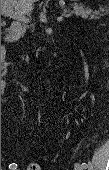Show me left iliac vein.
Here are the masks:
<instances>
[{
	"label": "left iliac vein",
	"mask_w": 109,
	"mask_h": 170,
	"mask_svg": "<svg viewBox=\"0 0 109 170\" xmlns=\"http://www.w3.org/2000/svg\"><path fill=\"white\" fill-rule=\"evenodd\" d=\"M74 169L75 170H84V167L80 163H75Z\"/></svg>",
	"instance_id": "obj_1"
}]
</instances>
